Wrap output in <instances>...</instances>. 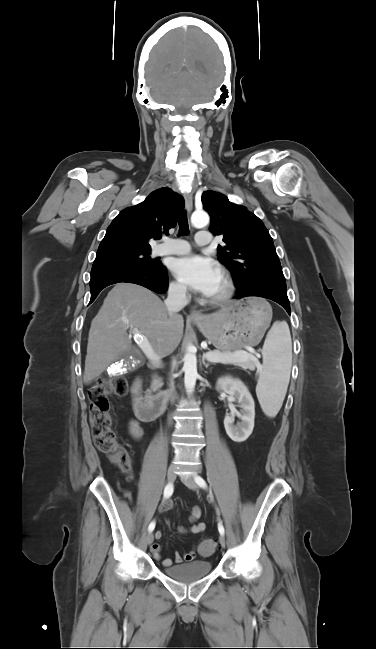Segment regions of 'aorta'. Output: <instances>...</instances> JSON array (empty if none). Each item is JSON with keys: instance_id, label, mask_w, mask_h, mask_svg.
I'll list each match as a JSON object with an SVG mask.
<instances>
[{"instance_id": "obj_1", "label": "aorta", "mask_w": 376, "mask_h": 649, "mask_svg": "<svg viewBox=\"0 0 376 649\" xmlns=\"http://www.w3.org/2000/svg\"><path fill=\"white\" fill-rule=\"evenodd\" d=\"M191 223L196 228L205 227L209 223V216L205 212H194L191 216ZM183 370L185 372V387L188 391H192L198 377L196 350L192 345L187 347L184 355Z\"/></svg>"}]
</instances>
